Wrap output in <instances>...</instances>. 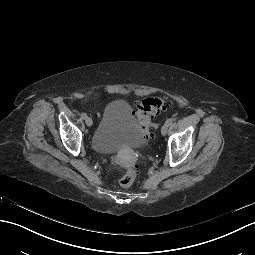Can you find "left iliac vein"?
Masks as SVG:
<instances>
[{"instance_id":"obj_1","label":"left iliac vein","mask_w":255,"mask_h":255,"mask_svg":"<svg viewBox=\"0 0 255 255\" xmlns=\"http://www.w3.org/2000/svg\"><path fill=\"white\" fill-rule=\"evenodd\" d=\"M167 130H168V126H167L166 124H164V125L161 127V134H162V135H166Z\"/></svg>"}]
</instances>
